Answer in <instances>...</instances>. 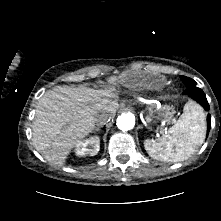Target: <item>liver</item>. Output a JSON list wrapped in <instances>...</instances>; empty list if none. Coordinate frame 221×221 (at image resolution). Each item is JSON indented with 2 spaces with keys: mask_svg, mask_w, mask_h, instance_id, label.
<instances>
[{
  "mask_svg": "<svg viewBox=\"0 0 221 221\" xmlns=\"http://www.w3.org/2000/svg\"><path fill=\"white\" fill-rule=\"evenodd\" d=\"M118 108L114 86L99 90L57 86L38 100L33 145L48 162L63 166L71 150L94 130L96 118L100 114L114 118Z\"/></svg>",
  "mask_w": 221,
  "mask_h": 221,
  "instance_id": "liver-1",
  "label": "liver"
}]
</instances>
